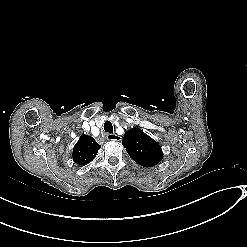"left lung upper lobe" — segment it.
Listing matches in <instances>:
<instances>
[{"label":"left lung upper lobe","instance_id":"obj_1","mask_svg":"<svg viewBox=\"0 0 247 247\" xmlns=\"http://www.w3.org/2000/svg\"><path fill=\"white\" fill-rule=\"evenodd\" d=\"M129 156L143 167H153L163 157L160 145L140 129H130L122 141Z\"/></svg>","mask_w":247,"mask_h":247}]
</instances>
